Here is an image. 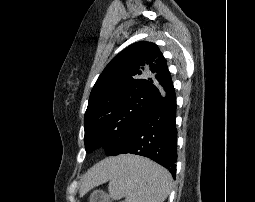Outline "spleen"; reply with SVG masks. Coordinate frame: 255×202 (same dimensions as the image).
<instances>
[{"label": "spleen", "mask_w": 255, "mask_h": 202, "mask_svg": "<svg viewBox=\"0 0 255 202\" xmlns=\"http://www.w3.org/2000/svg\"><path fill=\"white\" fill-rule=\"evenodd\" d=\"M123 156L118 165L109 168V197H124L125 202H163L172 189L170 173L149 159Z\"/></svg>", "instance_id": "obj_1"}]
</instances>
